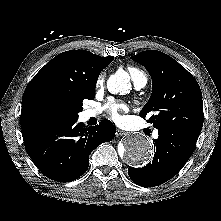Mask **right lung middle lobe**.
Wrapping results in <instances>:
<instances>
[{"mask_svg": "<svg viewBox=\"0 0 221 221\" xmlns=\"http://www.w3.org/2000/svg\"><path fill=\"white\" fill-rule=\"evenodd\" d=\"M95 91L87 94H78L68 99L54 98L45 101L39 107V115L44 120H71L78 118V112L82 111V101L92 100Z\"/></svg>", "mask_w": 221, "mask_h": 221, "instance_id": "1", "label": "right lung middle lobe"}]
</instances>
